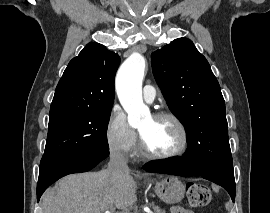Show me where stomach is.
<instances>
[{
    "instance_id": "0dacf381",
    "label": "stomach",
    "mask_w": 270,
    "mask_h": 213,
    "mask_svg": "<svg viewBox=\"0 0 270 213\" xmlns=\"http://www.w3.org/2000/svg\"><path fill=\"white\" fill-rule=\"evenodd\" d=\"M157 196L166 203L173 204L182 200L185 193V184L177 177L165 176L154 183Z\"/></svg>"
}]
</instances>
